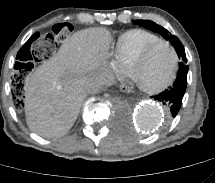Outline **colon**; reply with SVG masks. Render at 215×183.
Wrapping results in <instances>:
<instances>
[{
	"instance_id": "colon-1",
	"label": "colon",
	"mask_w": 215,
	"mask_h": 183,
	"mask_svg": "<svg viewBox=\"0 0 215 183\" xmlns=\"http://www.w3.org/2000/svg\"><path fill=\"white\" fill-rule=\"evenodd\" d=\"M73 26L69 23H57L52 27V32L46 34L42 29L35 30L30 37L19 42L14 48L11 97L15 101L12 111L17 116H22L27 111L23 101L26 92L23 89L27 74L37 63L50 60L57 49L58 42L66 40L72 33Z\"/></svg>"
}]
</instances>
